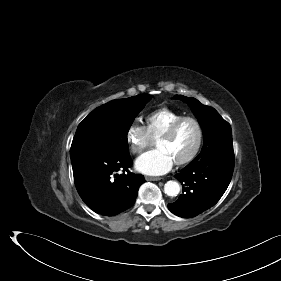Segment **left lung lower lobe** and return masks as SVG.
Returning a JSON list of instances; mask_svg holds the SVG:
<instances>
[{"instance_id": "1", "label": "left lung lower lobe", "mask_w": 281, "mask_h": 281, "mask_svg": "<svg viewBox=\"0 0 281 281\" xmlns=\"http://www.w3.org/2000/svg\"><path fill=\"white\" fill-rule=\"evenodd\" d=\"M234 155L203 156L194 159L175 175L183 194L168 204L182 218L199 215L214 206L226 191L233 174Z\"/></svg>"}]
</instances>
